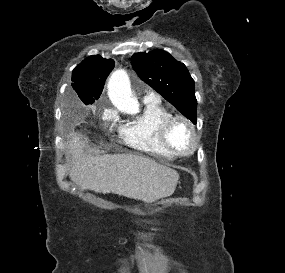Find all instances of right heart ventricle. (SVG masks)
<instances>
[{
  "instance_id": "obj_1",
  "label": "right heart ventricle",
  "mask_w": 285,
  "mask_h": 273,
  "mask_svg": "<svg viewBox=\"0 0 285 273\" xmlns=\"http://www.w3.org/2000/svg\"><path fill=\"white\" fill-rule=\"evenodd\" d=\"M171 116L160 101L145 102L143 112L135 119L119 127V137L130 148L162 157H174L162 142L160 130L163 122Z\"/></svg>"
}]
</instances>
